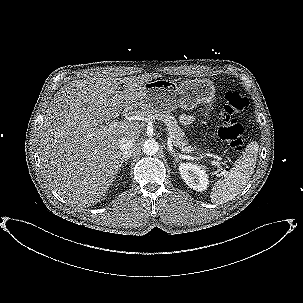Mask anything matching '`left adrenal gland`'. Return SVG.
<instances>
[{"instance_id":"obj_1","label":"left adrenal gland","mask_w":303,"mask_h":303,"mask_svg":"<svg viewBox=\"0 0 303 303\" xmlns=\"http://www.w3.org/2000/svg\"><path fill=\"white\" fill-rule=\"evenodd\" d=\"M171 155L174 157V161L178 162V159H179L178 156L173 152H171Z\"/></svg>"}]
</instances>
